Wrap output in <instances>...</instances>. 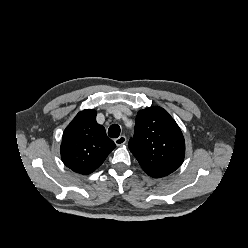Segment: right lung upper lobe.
Wrapping results in <instances>:
<instances>
[{"label": "right lung upper lobe", "mask_w": 248, "mask_h": 248, "mask_svg": "<svg viewBox=\"0 0 248 248\" xmlns=\"http://www.w3.org/2000/svg\"><path fill=\"white\" fill-rule=\"evenodd\" d=\"M115 147L105 128L96 122V111L83 110L63 133L61 158L74 172L87 175L97 169Z\"/></svg>", "instance_id": "right-lung-upper-lobe-1"}]
</instances>
